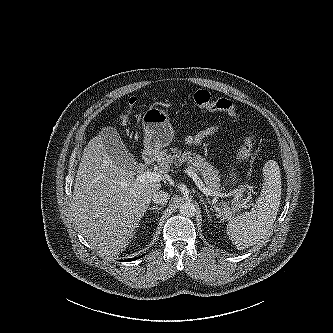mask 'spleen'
<instances>
[{
    "instance_id": "obj_1",
    "label": "spleen",
    "mask_w": 333,
    "mask_h": 333,
    "mask_svg": "<svg viewBox=\"0 0 333 333\" xmlns=\"http://www.w3.org/2000/svg\"><path fill=\"white\" fill-rule=\"evenodd\" d=\"M264 183L260 197L250 212L232 217L227 234L238 250L258 243L272 228L281 200V174L279 165L268 160L263 167Z\"/></svg>"
}]
</instances>
